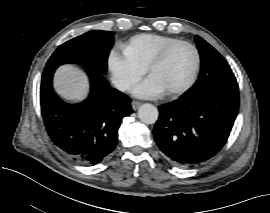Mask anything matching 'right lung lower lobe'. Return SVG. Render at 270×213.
<instances>
[{"instance_id": "98d812e1", "label": "right lung lower lobe", "mask_w": 270, "mask_h": 213, "mask_svg": "<svg viewBox=\"0 0 270 213\" xmlns=\"http://www.w3.org/2000/svg\"><path fill=\"white\" fill-rule=\"evenodd\" d=\"M55 70L44 69L40 89L48 135L72 160L98 164L116 147L121 120L132 113L131 99L111 89L102 73L90 70L89 97L80 104H66L52 90Z\"/></svg>"}]
</instances>
